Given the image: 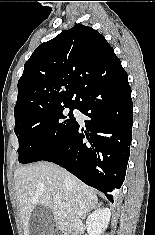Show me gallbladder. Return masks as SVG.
I'll list each match as a JSON object with an SVG mask.
<instances>
[{
  "mask_svg": "<svg viewBox=\"0 0 155 235\" xmlns=\"http://www.w3.org/2000/svg\"><path fill=\"white\" fill-rule=\"evenodd\" d=\"M54 215L48 206H36L30 216V235H53Z\"/></svg>",
  "mask_w": 155,
  "mask_h": 235,
  "instance_id": "gallbladder-1",
  "label": "gallbladder"
}]
</instances>
